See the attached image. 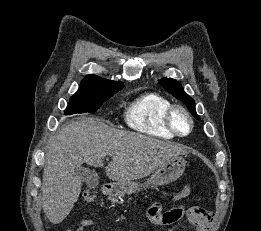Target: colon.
I'll use <instances>...</instances> for the list:
<instances>
[{"instance_id":"colon-1","label":"colon","mask_w":261,"mask_h":231,"mask_svg":"<svg viewBox=\"0 0 261 231\" xmlns=\"http://www.w3.org/2000/svg\"><path fill=\"white\" fill-rule=\"evenodd\" d=\"M181 191L184 193L186 188H183ZM86 199L89 200V197H86ZM188 215L190 223L194 228L199 231H208L213 218V213L211 211L198 206H193L188 209Z\"/></svg>"}]
</instances>
